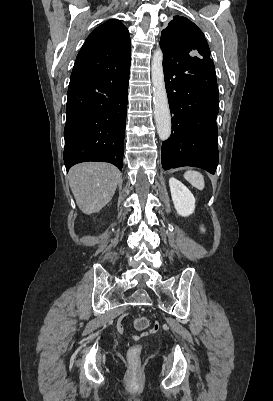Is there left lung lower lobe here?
<instances>
[{
    "mask_svg": "<svg viewBox=\"0 0 273 401\" xmlns=\"http://www.w3.org/2000/svg\"><path fill=\"white\" fill-rule=\"evenodd\" d=\"M163 50L165 87L172 113V134L162 144L164 170L200 167L211 174L218 164L219 110L214 63L177 50Z\"/></svg>",
    "mask_w": 273,
    "mask_h": 401,
    "instance_id": "1",
    "label": "left lung lower lobe"
}]
</instances>
